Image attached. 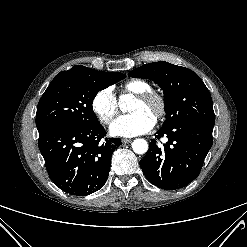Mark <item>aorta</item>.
<instances>
[{
    "label": "aorta",
    "mask_w": 247,
    "mask_h": 247,
    "mask_svg": "<svg viewBox=\"0 0 247 247\" xmlns=\"http://www.w3.org/2000/svg\"><path fill=\"white\" fill-rule=\"evenodd\" d=\"M130 100L129 95H122L119 99V107L122 112H126L128 110V102ZM132 149L137 154H144L148 150V143L144 139H136L132 143Z\"/></svg>",
    "instance_id": "762f6f07"
}]
</instances>
